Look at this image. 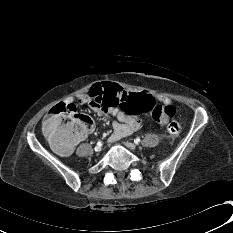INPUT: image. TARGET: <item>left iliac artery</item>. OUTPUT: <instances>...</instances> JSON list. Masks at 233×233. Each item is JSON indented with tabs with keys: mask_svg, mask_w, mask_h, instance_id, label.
<instances>
[{
	"mask_svg": "<svg viewBox=\"0 0 233 233\" xmlns=\"http://www.w3.org/2000/svg\"><path fill=\"white\" fill-rule=\"evenodd\" d=\"M140 138H136V139H134V142L136 143V144H138V143H140Z\"/></svg>",
	"mask_w": 233,
	"mask_h": 233,
	"instance_id": "left-iliac-artery-1",
	"label": "left iliac artery"
}]
</instances>
